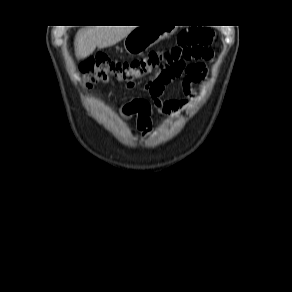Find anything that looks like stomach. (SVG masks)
Instances as JSON below:
<instances>
[{"label": "stomach", "mask_w": 292, "mask_h": 292, "mask_svg": "<svg viewBox=\"0 0 292 292\" xmlns=\"http://www.w3.org/2000/svg\"><path fill=\"white\" fill-rule=\"evenodd\" d=\"M164 32L155 27H136L124 39V49L130 55H141L158 43Z\"/></svg>", "instance_id": "1"}]
</instances>
